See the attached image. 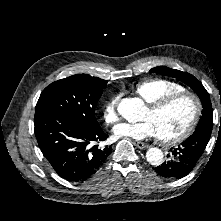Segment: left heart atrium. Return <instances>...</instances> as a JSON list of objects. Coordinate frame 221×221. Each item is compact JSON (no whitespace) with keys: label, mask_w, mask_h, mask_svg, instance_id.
<instances>
[{"label":"left heart atrium","mask_w":221,"mask_h":221,"mask_svg":"<svg viewBox=\"0 0 221 221\" xmlns=\"http://www.w3.org/2000/svg\"><path fill=\"white\" fill-rule=\"evenodd\" d=\"M113 132L117 137H126L135 140L158 137L155 125L149 119L137 123H119L114 127Z\"/></svg>","instance_id":"obj_1"}]
</instances>
